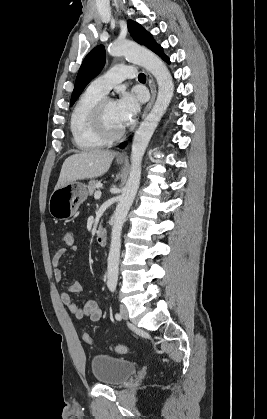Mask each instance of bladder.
<instances>
[{"label":"bladder","instance_id":"1","mask_svg":"<svg viewBox=\"0 0 267 419\" xmlns=\"http://www.w3.org/2000/svg\"><path fill=\"white\" fill-rule=\"evenodd\" d=\"M94 379L103 385L118 386L126 382L136 371V364L130 360L97 354L90 362Z\"/></svg>","mask_w":267,"mask_h":419}]
</instances>
